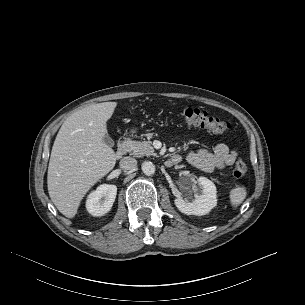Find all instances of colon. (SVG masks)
I'll return each instance as SVG.
<instances>
[{"label":"colon","mask_w":305,"mask_h":305,"mask_svg":"<svg viewBox=\"0 0 305 305\" xmlns=\"http://www.w3.org/2000/svg\"><path fill=\"white\" fill-rule=\"evenodd\" d=\"M182 123L189 127H198L206 129L215 134H224L229 128L228 121L213 117L206 111L197 108H184L178 111ZM247 172V165L243 160H238L233 168V176L241 179Z\"/></svg>","instance_id":"colon-1"}]
</instances>
